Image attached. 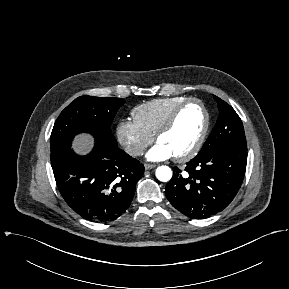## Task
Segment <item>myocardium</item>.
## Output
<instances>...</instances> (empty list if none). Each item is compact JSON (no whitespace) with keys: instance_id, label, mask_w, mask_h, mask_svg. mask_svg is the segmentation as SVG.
<instances>
[{"instance_id":"myocardium-1","label":"myocardium","mask_w":289,"mask_h":289,"mask_svg":"<svg viewBox=\"0 0 289 289\" xmlns=\"http://www.w3.org/2000/svg\"><path fill=\"white\" fill-rule=\"evenodd\" d=\"M192 103H196L198 104L205 116V121H204V126L202 128V131L196 141V143L193 145V147L188 150L186 153L178 155V156H173L174 160H176L177 162H186L190 159H192L193 157H195L199 151L201 150L206 137L208 135L209 132V128H210V122H211V118H210V113L206 107V105L204 104V102L198 98H188L185 101H183L181 104H179L173 111L172 113L169 115V117L166 119V121L162 124V126L158 129V131L155 134V140L158 142L159 138L161 136H163L164 134L168 133L173 126L175 125L179 115L181 114V112L190 104Z\"/></svg>"}]
</instances>
